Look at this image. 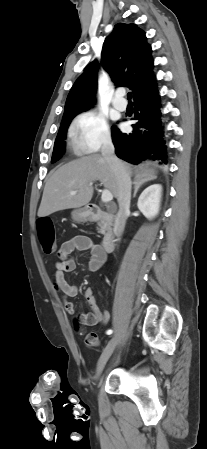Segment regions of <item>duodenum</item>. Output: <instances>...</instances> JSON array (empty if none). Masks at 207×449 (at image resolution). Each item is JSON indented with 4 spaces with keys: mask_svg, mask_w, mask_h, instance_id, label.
Returning a JSON list of instances; mask_svg holds the SVG:
<instances>
[{
    "mask_svg": "<svg viewBox=\"0 0 207 449\" xmlns=\"http://www.w3.org/2000/svg\"><path fill=\"white\" fill-rule=\"evenodd\" d=\"M87 218L90 221L103 220L106 223H110L114 219L112 212L104 213L99 207L89 206L87 209ZM116 236L115 233L108 229L106 235L102 241V247L105 251H112L115 246Z\"/></svg>",
    "mask_w": 207,
    "mask_h": 449,
    "instance_id": "410a0bca",
    "label": "duodenum"
}]
</instances>
